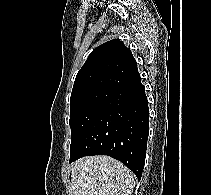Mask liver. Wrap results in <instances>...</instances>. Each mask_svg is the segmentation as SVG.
Instances as JSON below:
<instances>
[{"mask_svg":"<svg viewBox=\"0 0 211 195\" xmlns=\"http://www.w3.org/2000/svg\"><path fill=\"white\" fill-rule=\"evenodd\" d=\"M71 185L73 195H131L135 176L109 156H86L74 163Z\"/></svg>","mask_w":211,"mask_h":195,"instance_id":"liver-1","label":"liver"}]
</instances>
